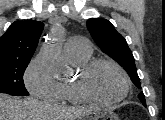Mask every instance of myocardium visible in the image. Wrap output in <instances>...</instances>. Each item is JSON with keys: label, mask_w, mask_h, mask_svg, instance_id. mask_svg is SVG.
<instances>
[{"label": "myocardium", "mask_w": 165, "mask_h": 120, "mask_svg": "<svg viewBox=\"0 0 165 120\" xmlns=\"http://www.w3.org/2000/svg\"><path fill=\"white\" fill-rule=\"evenodd\" d=\"M101 65H108L113 67L118 73L121 75L124 82V91L123 93L116 98L113 99H103L96 96L90 89V77L92 73ZM75 88L77 93L85 100L89 102H96L105 105H111L118 102H121L126 98L130 90V80L125 72V70L115 61L110 59H93L84 64L78 71V74L75 78Z\"/></svg>", "instance_id": "myocardium-1"}]
</instances>
